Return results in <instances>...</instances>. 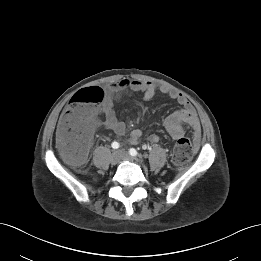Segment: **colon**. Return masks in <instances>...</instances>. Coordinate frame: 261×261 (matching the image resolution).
I'll use <instances>...</instances> for the list:
<instances>
[{
    "label": "colon",
    "mask_w": 261,
    "mask_h": 261,
    "mask_svg": "<svg viewBox=\"0 0 261 261\" xmlns=\"http://www.w3.org/2000/svg\"><path fill=\"white\" fill-rule=\"evenodd\" d=\"M103 100L104 91L100 87L82 89L70 99L68 110L61 118L58 129L60 151L69 163H84L89 150V120ZM193 154L191 141L186 137L178 138L172 152L174 164L185 165Z\"/></svg>",
    "instance_id": "1"
}]
</instances>
